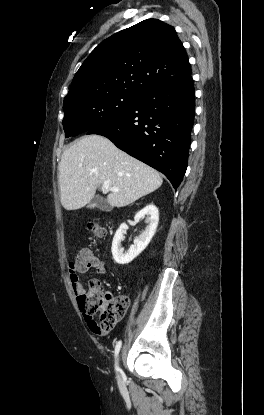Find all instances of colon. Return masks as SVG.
I'll return each mask as SVG.
<instances>
[{
	"label": "colon",
	"mask_w": 264,
	"mask_h": 415,
	"mask_svg": "<svg viewBox=\"0 0 264 415\" xmlns=\"http://www.w3.org/2000/svg\"><path fill=\"white\" fill-rule=\"evenodd\" d=\"M90 233L96 237L104 235V229L98 223L92 222L87 225ZM96 264V258L89 249L80 250L76 257L70 261L69 269L72 273L80 268L89 269ZM79 308L81 312L88 318V324L92 329H109L118 320L122 319L129 307V298L127 295H114L101 286L98 280H91L78 297ZM100 313L99 321L93 316Z\"/></svg>",
	"instance_id": "colon-1"
}]
</instances>
